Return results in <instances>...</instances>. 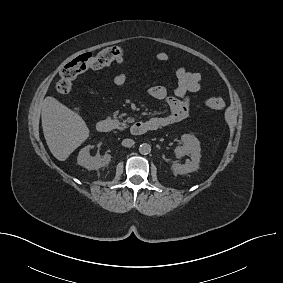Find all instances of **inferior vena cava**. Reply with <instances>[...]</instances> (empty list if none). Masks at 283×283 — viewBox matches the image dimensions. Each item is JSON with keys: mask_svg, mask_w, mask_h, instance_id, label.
I'll list each match as a JSON object with an SVG mask.
<instances>
[{"mask_svg": "<svg viewBox=\"0 0 283 283\" xmlns=\"http://www.w3.org/2000/svg\"><path fill=\"white\" fill-rule=\"evenodd\" d=\"M134 143L135 142L132 139H124L122 141V146H124V147H132L134 145Z\"/></svg>", "mask_w": 283, "mask_h": 283, "instance_id": "1", "label": "inferior vena cava"}]
</instances>
